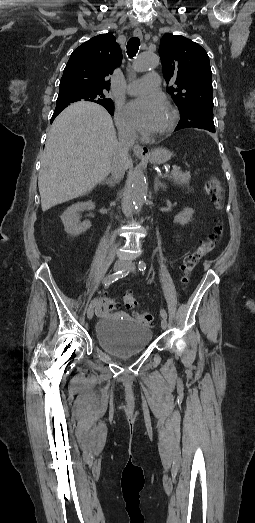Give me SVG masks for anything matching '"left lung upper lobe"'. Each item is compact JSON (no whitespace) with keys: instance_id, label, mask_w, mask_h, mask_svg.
Returning <instances> with one entry per match:
<instances>
[{"instance_id":"obj_1","label":"left lung upper lobe","mask_w":255,"mask_h":523,"mask_svg":"<svg viewBox=\"0 0 255 523\" xmlns=\"http://www.w3.org/2000/svg\"><path fill=\"white\" fill-rule=\"evenodd\" d=\"M159 55L166 82L175 84L167 92L181 112L182 119L175 130L195 127L215 132L212 71L206 51L183 36L165 34Z\"/></svg>"}]
</instances>
